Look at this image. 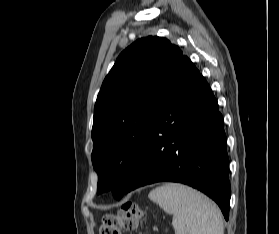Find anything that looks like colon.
<instances>
[{"instance_id": "colon-1", "label": "colon", "mask_w": 279, "mask_h": 234, "mask_svg": "<svg viewBox=\"0 0 279 234\" xmlns=\"http://www.w3.org/2000/svg\"><path fill=\"white\" fill-rule=\"evenodd\" d=\"M143 217V211L135 202L124 203L120 210L103 216L100 234H122L133 231Z\"/></svg>"}]
</instances>
